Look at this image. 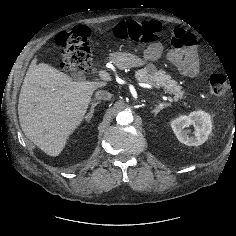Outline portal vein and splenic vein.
<instances>
[{"label":"portal vein and splenic vein","mask_w":236,"mask_h":236,"mask_svg":"<svg viewBox=\"0 0 236 236\" xmlns=\"http://www.w3.org/2000/svg\"><path fill=\"white\" fill-rule=\"evenodd\" d=\"M99 76L102 80L104 81H111V76L109 75L108 72H106L105 70H100L99 71ZM168 100L170 102H173V99L171 97H168Z\"/></svg>","instance_id":"portal-vein-and-splenic-vein-1"}]
</instances>
